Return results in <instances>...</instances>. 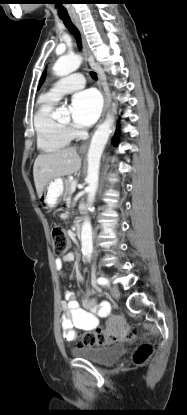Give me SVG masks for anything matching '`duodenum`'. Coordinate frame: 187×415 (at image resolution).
Wrapping results in <instances>:
<instances>
[{"label":"duodenum","instance_id":"1","mask_svg":"<svg viewBox=\"0 0 187 415\" xmlns=\"http://www.w3.org/2000/svg\"><path fill=\"white\" fill-rule=\"evenodd\" d=\"M81 227H82V222L80 219H77L74 223V230H73V235L77 239L81 237Z\"/></svg>","mask_w":187,"mask_h":415}]
</instances>
